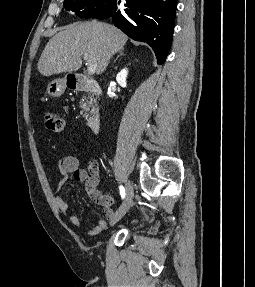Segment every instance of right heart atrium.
Returning a JSON list of instances; mask_svg holds the SVG:
<instances>
[{"instance_id": "d8ad5b80", "label": "right heart atrium", "mask_w": 255, "mask_h": 287, "mask_svg": "<svg viewBox=\"0 0 255 287\" xmlns=\"http://www.w3.org/2000/svg\"><path fill=\"white\" fill-rule=\"evenodd\" d=\"M95 33H101V32H95ZM94 39H99V38H94Z\"/></svg>"}]
</instances>
